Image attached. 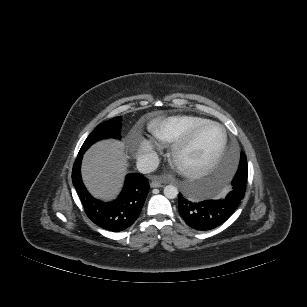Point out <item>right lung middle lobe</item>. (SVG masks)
<instances>
[{"mask_svg":"<svg viewBox=\"0 0 307 307\" xmlns=\"http://www.w3.org/2000/svg\"><path fill=\"white\" fill-rule=\"evenodd\" d=\"M121 117H115L109 121L99 124L83 143L79 153L85 151L95 142L105 138H120Z\"/></svg>","mask_w":307,"mask_h":307,"instance_id":"1","label":"right lung middle lobe"}]
</instances>
